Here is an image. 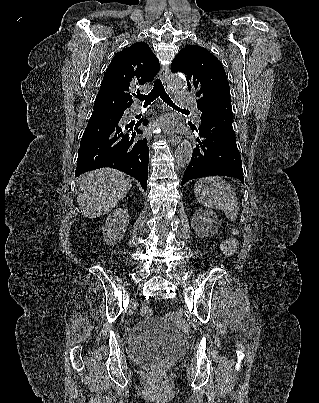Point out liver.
Instances as JSON below:
<instances>
[{
    "mask_svg": "<svg viewBox=\"0 0 319 403\" xmlns=\"http://www.w3.org/2000/svg\"><path fill=\"white\" fill-rule=\"evenodd\" d=\"M132 186L124 173L110 168L88 172L79 178L77 201L82 215L96 218L110 212Z\"/></svg>",
    "mask_w": 319,
    "mask_h": 403,
    "instance_id": "liver-1",
    "label": "liver"
}]
</instances>
